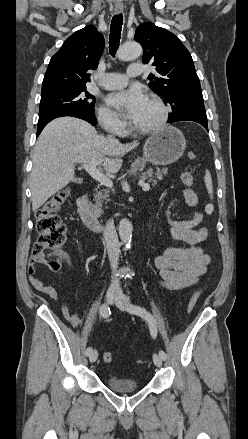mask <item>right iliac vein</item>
I'll return each instance as SVG.
<instances>
[{"instance_id":"1","label":"right iliac vein","mask_w":248,"mask_h":439,"mask_svg":"<svg viewBox=\"0 0 248 439\" xmlns=\"http://www.w3.org/2000/svg\"><path fill=\"white\" fill-rule=\"evenodd\" d=\"M116 291L114 288H109L106 293V300L109 304H112L116 298ZM98 358V352L97 350H93L89 355V361L91 363H94Z\"/></svg>"}]
</instances>
